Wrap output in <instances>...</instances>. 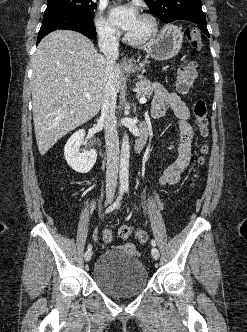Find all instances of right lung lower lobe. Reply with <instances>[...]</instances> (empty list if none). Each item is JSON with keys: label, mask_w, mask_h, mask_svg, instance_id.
Instances as JSON below:
<instances>
[{"label": "right lung lower lobe", "mask_w": 247, "mask_h": 332, "mask_svg": "<svg viewBox=\"0 0 247 332\" xmlns=\"http://www.w3.org/2000/svg\"><path fill=\"white\" fill-rule=\"evenodd\" d=\"M73 30L91 38L96 35L92 18L77 13L57 12L44 14L42 26L37 37V44L54 30Z\"/></svg>", "instance_id": "98d812e1"}]
</instances>
